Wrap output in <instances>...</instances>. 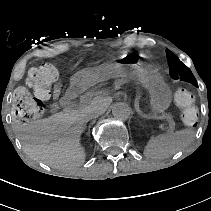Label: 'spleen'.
I'll use <instances>...</instances> for the list:
<instances>
[{"instance_id": "3e777b00", "label": "spleen", "mask_w": 211, "mask_h": 211, "mask_svg": "<svg viewBox=\"0 0 211 211\" xmlns=\"http://www.w3.org/2000/svg\"><path fill=\"white\" fill-rule=\"evenodd\" d=\"M192 129H183L171 134L152 136L144 149V155L152 159H164L187 147L194 139Z\"/></svg>"}]
</instances>
